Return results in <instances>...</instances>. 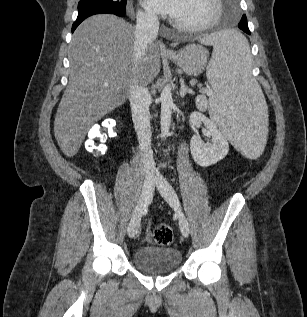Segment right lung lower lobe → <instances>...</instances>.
I'll return each mask as SVG.
<instances>
[{
	"mask_svg": "<svg viewBox=\"0 0 307 317\" xmlns=\"http://www.w3.org/2000/svg\"><path fill=\"white\" fill-rule=\"evenodd\" d=\"M95 14H114L117 16H124L125 15V11L121 12V13H113L110 11H106V10H102V9H92V10H88V11H84V12H80L78 13V17L76 19V21L74 22L73 26H72V32H74V30L77 28V26L87 17L95 15Z\"/></svg>",
	"mask_w": 307,
	"mask_h": 317,
	"instance_id": "obj_1",
	"label": "right lung lower lobe"
}]
</instances>
